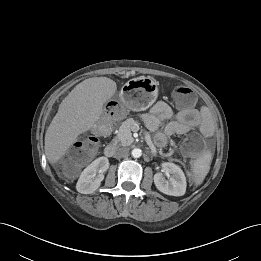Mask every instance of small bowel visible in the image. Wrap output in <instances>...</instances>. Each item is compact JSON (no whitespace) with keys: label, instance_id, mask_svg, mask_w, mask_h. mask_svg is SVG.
<instances>
[{"label":"small bowel","instance_id":"c3829d8e","mask_svg":"<svg viewBox=\"0 0 261 261\" xmlns=\"http://www.w3.org/2000/svg\"><path fill=\"white\" fill-rule=\"evenodd\" d=\"M173 115L174 112L168 103L158 101L148 113L142 116V120L149 130L156 131L164 122L169 121ZM194 128H198L205 137L213 134V121L207 110L189 108L178 112L176 119L170 120L166 124L164 131L155 134L154 142L157 146L164 147L167 144L168 137L187 133Z\"/></svg>","mask_w":261,"mask_h":261}]
</instances>
